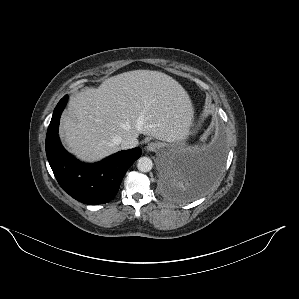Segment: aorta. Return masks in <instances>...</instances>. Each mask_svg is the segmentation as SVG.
I'll list each match as a JSON object with an SVG mask.
<instances>
[{
	"label": "aorta",
	"mask_w": 299,
	"mask_h": 299,
	"mask_svg": "<svg viewBox=\"0 0 299 299\" xmlns=\"http://www.w3.org/2000/svg\"><path fill=\"white\" fill-rule=\"evenodd\" d=\"M153 167V162L148 157H141L137 161V168L141 172H149Z\"/></svg>",
	"instance_id": "aorta-1"
}]
</instances>
